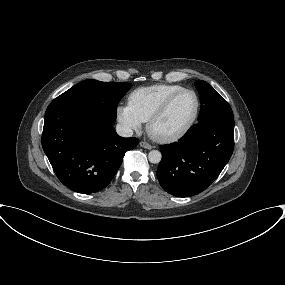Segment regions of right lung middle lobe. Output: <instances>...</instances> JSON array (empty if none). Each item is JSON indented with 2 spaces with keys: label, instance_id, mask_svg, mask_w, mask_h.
<instances>
[{
  "label": "right lung middle lobe",
  "instance_id": "dd1d6c3e",
  "mask_svg": "<svg viewBox=\"0 0 285 285\" xmlns=\"http://www.w3.org/2000/svg\"><path fill=\"white\" fill-rule=\"evenodd\" d=\"M130 83L85 80L56 99L76 102L116 119L117 105L131 88Z\"/></svg>",
  "mask_w": 285,
  "mask_h": 285
}]
</instances>
